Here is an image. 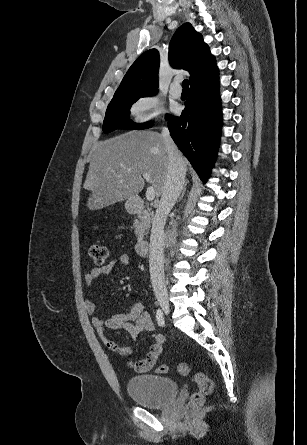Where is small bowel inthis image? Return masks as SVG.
I'll use <instances>...</instances> for the list:
<instances>
[{
    "mask_svg": "<svg viewBox=\"0 0 307 445\" xmlns=\"http://www.w3.org/2000/svg\"><path fill=\"white\" fill-rule=\"evenodd\" d=\"M129 263L130 257L128 254H119L106 265L90 269L85 275V282L88 286H92L98 277L109 274L117 266H127ZM143 308L141 302H135L129 310L104 318L97 315V304L94 300L88 299L86 301V310L90 315H93L92 323L101 335L104 344L125 359L131 357L132 350L126 346H119L117 342L108 339L105 333L107 330H125L131 337L137 338L143 332L153 331L155 329L154 323ZM163 343L164 336L161 334L155 335L145 358L130 361L131 368L137 373L150 371L162 352Z\"/></svg>",
    "mask_w": 307,
    "mask_h": 445,
    "instance_id": "c3829d8e",
    "label": "small bowel"
}]
</instances>
